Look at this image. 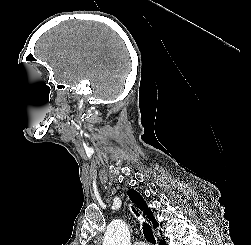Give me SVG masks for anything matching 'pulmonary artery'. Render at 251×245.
I'll return each instance as SVG.
<instances>
[{"label":"pulmonary artery","mask_w":251,"mask_h":245,"mask_svg":"<svg viewBox=\"0 0 251 245\" xmlns=\"http://www.w3.org/2000/svg\"><path fill=\"white\" fill-rule=\"evenodd\" d=\"M133 245H147V243L146 242H135Z\"/></svg>","instance_id":"1"}]
</instances>
